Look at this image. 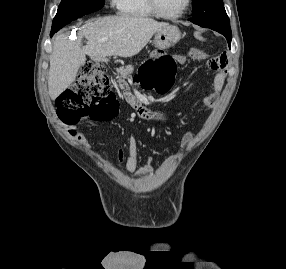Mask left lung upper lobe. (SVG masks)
<instances>
[{"instance_id": "obj_1", "label": "left lung upper lobe", "mask_w": 286, "mask_h": 269, "mask_svg": "<svg viewBox=\"0 0 286 269\" xmlns=\"http://www.w3.org/2000/svg\"><path fill=\"white\" fill-rule=\"evenodd\" d=\"M191 22L211 29H230L223 0H193Z\"/></svg>"}]
</instances>
